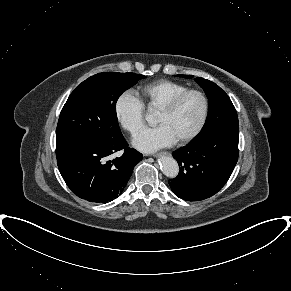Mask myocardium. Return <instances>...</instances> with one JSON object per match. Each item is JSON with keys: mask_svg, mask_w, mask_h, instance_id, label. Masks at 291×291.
Returning <instances> with one entry per match:
<instances>
[{"mask_svg": "<svg viewBox=\"0 0 291 291\" xmlns=\"http://www.w3.org/2000/svg\"><path fill=\"white\" fill-rule=\"evenodd\" d=\"M192 94L200 97L202 101L203 109H202L201 118L199 120V123L195 127V129L190 134L176 141L178 145H184V144L189 143L190 141L195 139L205 127V124L207 122L208 115H209V100H208L207 95L203 91L198 90V89H186L185 91L172 97L167 103H165L162 107L159 108V111L161 112L171 113L172 111L176 109V107L185 97Z\"/></svg>", "mask_w": 291, "mask_h": 291, "instance_id": "1", "label": "myocardium"}]
</instances>
